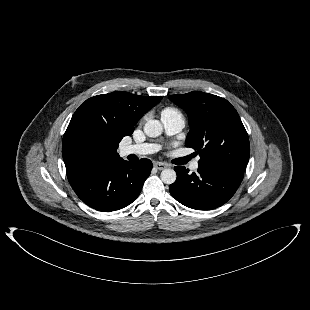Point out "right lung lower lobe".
Returning a JSON list of instances; mask_svg holds the SVG:
<instances>
[{
    "instance_id": "98d812e1",
    "label": "right lung lower lobe",
    "mask_w": 310,
    "mask_h": 310,
    "mask_svg": "<svg viewBox=\"0 0 310 310\" xmlns=\"http://www.w3.org/2000/svg\"><path fill=\"white\" fill-rule=\"evenodd\" d=\"M153 165L149 159L92 162L67 170L70 185L88 206L104 212L132 203L140 194Z\"/></svg>"
}]
</instances>
